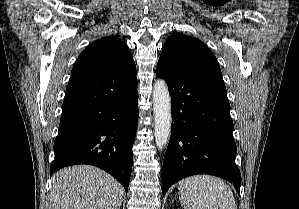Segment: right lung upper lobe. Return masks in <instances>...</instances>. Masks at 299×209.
Instances as JSON below:
<instances>
[{"label":"right lung upper lobe","instance_id":"1","mask_svg":"<svg viewBox=\"0 0 299 209\" xmlns=\"http://www.w3.org/2000/svg\"><path fill=\"white\" fill-rule=\"evenodd\" d=\"M116 73L126 80L136 77V66L127 45L115 36L91 43L77 58L71 78Z\"/></svg>","mask_w":299,"mask_h":209}]
</instances>
